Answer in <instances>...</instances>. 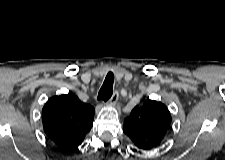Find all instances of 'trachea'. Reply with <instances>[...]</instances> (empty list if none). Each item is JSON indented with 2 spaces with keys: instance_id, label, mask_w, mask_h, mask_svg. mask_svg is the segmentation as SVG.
Here are the masks:
<instances>
[{
  "instance_id": "trachea-1",
  "label": "trachea",
  "mask_w": 225,
  "mask_h": 160,
  "mask_svg": "<svg viewBox=\"0 0 225 160\" xmlns=\"http://www.w3.org/2000/svg\"><path fill=\"white\" fill-rule=\"evenodd\" d=\"M113 82H114V74L109 72L104 80V83L99 90L98 100H103L106 102L113 94Z\"/></svg>"
}]
</instances>
